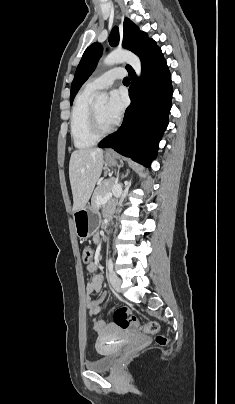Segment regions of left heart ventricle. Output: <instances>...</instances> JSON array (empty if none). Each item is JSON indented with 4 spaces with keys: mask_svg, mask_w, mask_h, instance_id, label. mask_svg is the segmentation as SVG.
I'll return each instance as SVG.
<instances>
[{
    "mask_svg": "<svg viewBox=\"0 0 235 404\" xmlns=\"http://www.w3.org/2000/svg\"><path fill=\"white\" fill-rule=\"evenodd\" d=\"M94 109L97 113L100 125L102 128H107L112 124L107 120L105 116V103H100L94 106Z\"/></svg>",
    "mask_w": 235,
    "mask_h": 404,
    "instance_id": "obj_1",
    "label": "left heart ventricle"
}]
</instances>
